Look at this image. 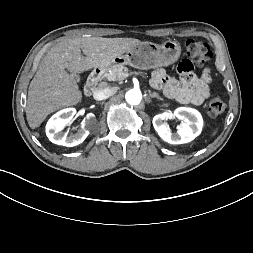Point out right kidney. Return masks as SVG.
Returning <instances> with one entry per match:
<instances>
[{"mask_svg": "<svg viewBox=\"0 0 253 253\" xmlns=\"http://www.w3.org/2000/svg\"><path fill=\"white\" fill-rule=\"evenodd\" d=\"M76 110L74 108L63 109L54 114L46 125V135L52 143L73 147L82 143L89 134L88 129L95 123V115L89 113L81 123V128L75 134L62 132L64 127L70 123Z\"/></svg>", "mask_w": 253, "mask_h": 253, "instance_id": "right-kidney-1", "label": "right kidney"}]
</instances>
